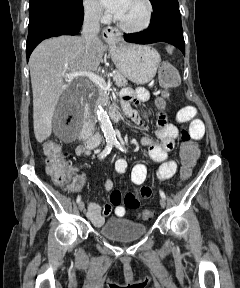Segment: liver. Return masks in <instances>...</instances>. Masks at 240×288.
I'll list each match as a JSON object with an SVG mask.
<instances>
[{
	"label": "liver",
	"mask_w": 240,
	"mask_h": 288,
	"mask_svg": "<svg viewBox=\"0 0 240 288\" xmlns=\"http://www.w3.org/2000/svg\"><path fill=\"white\" fill-rule=\"evenodd\" d=\"M105 51L98 39L86 50L82 37L60 36L42 41L29 60L33 91V125L38 142L52 133V118L61 94L70 86L63 76L76 71L93 72Z\"/></svg>",
	"instance_id": "obj_1"
}]
</instances>
